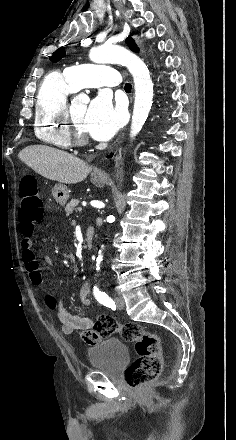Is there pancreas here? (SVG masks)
<instances>
[{"label": "pancreas", "instance_id": "pancreas-1", "mask_svg": "<svg viewBox=\"0 0 236 440\" xmlns=\"http://www.w3.org/2000/svg\"><path fill=\"white\" fill-rule=\"evenodd\" d=\"M78 204H79V200H75V199L71 200L65 207L66 215L69 216L70 214H72L73 210Z\"/></svg>", "mask_w": 236, "mask_h": 440}]
</instances>
